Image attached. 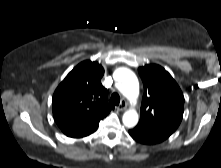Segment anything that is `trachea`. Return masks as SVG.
<instances>
[{"instance_id": "obj_1", "label": "trachea", "mask_w": 221, "mask_h": 168, "mask_svg": "<svg viewBox=\"0 0 221 168\" xmlns=\"http://www.w3.org/2000/svg\"><path fill=\"white\" fill-rule=\"evenodd\" d=\"M110 103L113 105H119L120 96L117 93H113L110 98Z\"/></svg>"}]
</instances>
